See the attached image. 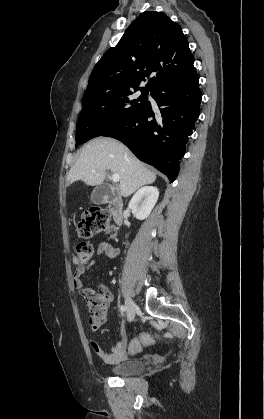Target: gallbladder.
Wrapping results in <instances>:
<instances>
[{
	"label": "gallbladder",
	"instance_id": "1",
	"mask_svg": "<svg viewBox=\"0 0 264 419\" xmlns=\"http://www.w3.org/2000/svg\"><path fill=\"white\" fill-rule=\"evenodd\" d=\"M108 192L109 188L107 185L101 184L97 186L91 194V201L95 204H103Z\"/></svg>",
	"mask_w": 264,
	"mask_h": 419
}]
</instances>
